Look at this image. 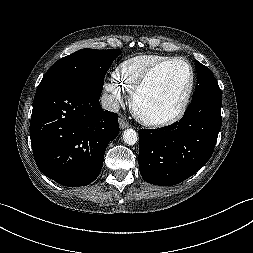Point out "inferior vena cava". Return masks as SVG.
<instances>
[{
	"mask_svg": "<svg viewBox=\"0 0 253 253\" xmlns=\"http://www.w3.org/2000/svg\"><path fill=\"white\" fill-rule=\"evenodd\" d=\"M101 106L104 110L118 112L120 109V105L117 99L110 94H103L101 97Z\"/></svg>",
	"mask_w": 253,
	"mask_h": 253,
	"instance_id": "obj_1",
	"label": "inferior vena cava"
}]
</instances>
